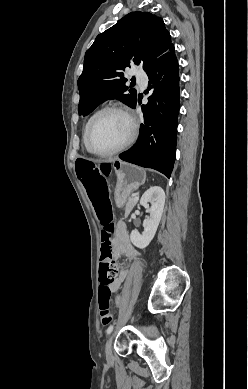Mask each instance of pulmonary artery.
<instances>
[{
	"label": "pulmonary artery",
	"mask_w": 248,
	"mask_h": 389,
	"mask_svg": "<svg viewBox=\"0 0 248 389\" xmlns=\"http://www.w3.org/2000/svg\"><path fill=\"white\" fill-rule=\"evenodd\" d=\"M136 80L142 86H146V84L148 83V77L146 75H143V74L136 75Z\"/></svg>",
	"instance_id": "1"
}]
</instances>
